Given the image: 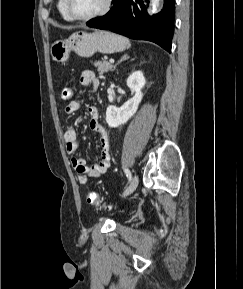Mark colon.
I'll list each match as a JSON object with an SVG mask.
<instances>
[{"instance_id": "5ec220e1", "label": "colon", "mask_w": 243, "mask_h": 289, "mask_svg": "<svg viewBox=\"0 0 243 289\" xmlns=\"http://www.w3.org/2000/svg\"><path fill=\"white\" fill-rule=\"evenodd\" d=\"M72 96V90L69 87H63L60 92V98L63 101H67L71 98ZM87 203L92 205V206H102L104 208H110V205L108 204H102L101 201L99 200L98 196L94 192H88L87 194Z\"/></svg>"}]
</instances>
